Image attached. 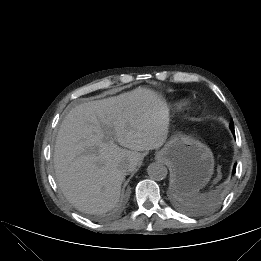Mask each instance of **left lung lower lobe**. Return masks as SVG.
Masks as SVG:
<instances>
[{
    "label": "left lung lower lobe",
    "mask_w": 261,
    "mask_h": 261,
    "mask_svg": "<svg viewBox=\"0 0 261 261\" xmlns=\"http://www.w3.org/2000/svg\"><path fill=\"white\" fill-rule=\"evenodd\" d=\"M229 126H230L232 133L235 134L233 121L230 122ZM235 170H236V164L234 165V168H233V174L235 173Z\"/></svg>",
    "instance_id": "left-lung-lower-lobe-1"
}]
</instances>
